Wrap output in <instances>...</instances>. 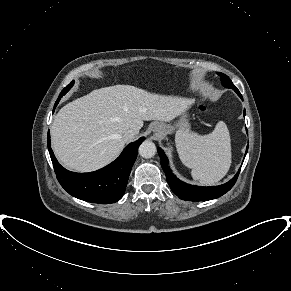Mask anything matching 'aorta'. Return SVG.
Listing matches in <instances>:
<instances>
[{
  "instance_id": "762f6f07",
  "label": "aorta",
  "mask_w": 291,
  "mask_h": 291,
  "mask_svg": "<svg viewBox=\"0 0 291 291\" xmlns=\"http://www.w3.org/2000/svg\"><path fill=\"white\" fill-rule=\"evenodd\" d=\"M139 154L143 158H151L156 154V146L152 141L146 140L139 147Z\"/></svg>"
}]
</instances>
